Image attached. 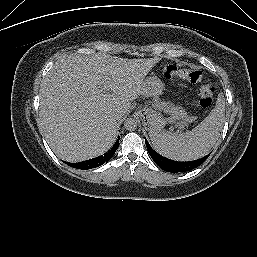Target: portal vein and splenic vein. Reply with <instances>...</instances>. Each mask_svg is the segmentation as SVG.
I'll use <instances>...</instances> for the list:
<instances>
[{
    "instance_id": "portal-vein-and-splenic-vein-1",
    "label": "portal vein and splenic vein",
    "mask_w": 257,
    "mask_h": 257,
    "mask_svg": "<svg viewBox=\"0 0 257 257\" xmlns=\"http://www.w3.org/2000/svg\"><path fill=\"white\" fill-rule=\"evenodd\" d=\"M102 91H103V92H106V91H107V87H106V86H103ZM178 126L181 127L182 125H181L180 123H178Z\"/></svg>"
}]
</instances>
